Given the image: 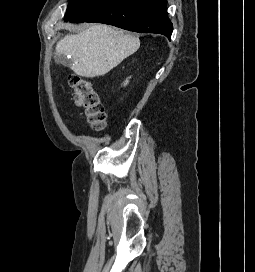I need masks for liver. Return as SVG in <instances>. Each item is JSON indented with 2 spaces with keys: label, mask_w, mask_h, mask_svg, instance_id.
Segmentation results:
<instances>
[{
  "label": "liver",
  "mask_w": 255,
  "mask_h": 272,
  "mask_svg": "<svg viewBox=\"0 0 255 272\" xmlns=\"http://www.w3.org/2000/svg\"><path fill=\"white\" fill-rule=\"evenodd\" d=\"M140 47L138 37L104 24H93L78 34H67L56 53L70 56L71 69L82 77L103 76Z\"/></svg>",
  "instance_id": "1"
}]
</instances>
